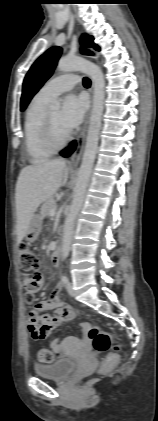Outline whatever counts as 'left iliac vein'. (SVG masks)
<instances>
[{
	"label": "left iliac vein",
	"instance_id": "obj_1",
	"mask_svg": "<svg viewBox=\"0 0 158 421\" xmlns=\"http://www.w3.org/2000/svg\"><path fill=\"white\" fill-rule=\"evenodd\" d=\"M66 289H67V291H68V293H69L70 296H73L74 295V291H73V288H72V284L71 283H68L66 285Z\"/></svg>",
	"mask_w": 158,
	"mask_h": 421
}]
</instances>
